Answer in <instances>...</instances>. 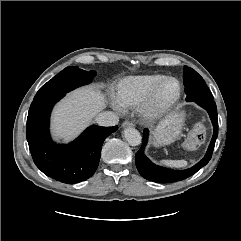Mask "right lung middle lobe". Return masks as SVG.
Listing matches in <instances>:
<instances>
[{"label": "right lung middle lobe", "instance_id": "right-lung-middle-lobe-1", "mask_svg": "<svg viewBox=\"0 0 241 241\" xmlns=\"http://www.w3.org/2000/svg\"><path fill=\"white\" fill-rule=\"evenodd\" d=\"M95 75L93 70L88 72L74 66L67 67L44 84L33 101L65 95L81 85L90 83Z\"/></svg>", "mask_w": 241, "mask_h": 241}]
</instances>
